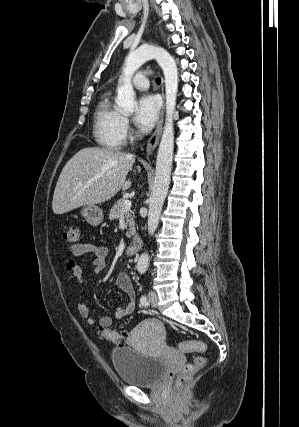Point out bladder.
<instances>
[{
  "mask_svg": "<svg viewBox=\"0 0 299 427\" xmlns=\"http://www.w3.org/2000/svg\"><path fill=\"white\" fill-rule=\"evenodd\" d=\"M115 371L124 383L139 387L155 386L166 374V364L131 346L116 347L111 352Z\"/></svg>",
  "mask_w": 299,
  "mask_h": 427,
  "instance_id": "31cf9c89",
  "label": "bladder"
}]
</instances>
